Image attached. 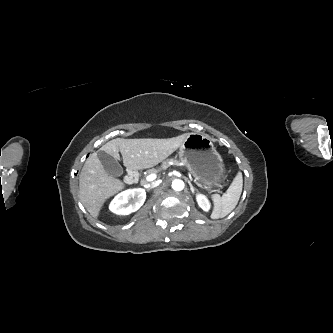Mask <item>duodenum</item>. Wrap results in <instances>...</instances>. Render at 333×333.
Instances as JSON below:
<instances>
[{"instance_id": "1", "label": "duodenum", "mask_w": 333, "mask_h": 333, "mask_svg": "<svg viewBox=\"0 0 333 333\" xmlns=\"http://www.w3.org/2000/svg\"><path fill=\"white\" fill-rule=\"evenodd\" d=\"M137 180H138V172L133 169H130L125 177V182L132 184L137 182Z\"/></svg>"}]
</instances>
